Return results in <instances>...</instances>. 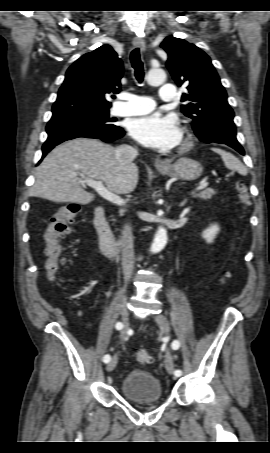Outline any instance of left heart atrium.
I'll use <instances>...</instances> for the list:
<instances>
[{
  "mask_svg": "<svg viewBox=\"0 0 270 453\" xmlns=\"http://www.w3.org/2000/svg\"><path fill=\"white\" fill-rule=\"evenodd\" d=\"M130 135L141 144L158 150L176 147L182 139V130L172 115L151 114L129 122Z\"/></svg>",
  "mask_w": 270,
  "mask_h": 453,
  "instance_id": "obj_1",
  "label": "left heart atrium"
}]
</instances>
